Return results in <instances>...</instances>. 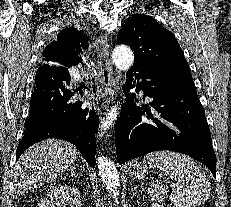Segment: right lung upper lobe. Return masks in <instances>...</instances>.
Returning <instances> with one entry per match:
<instances>
[{
  "label": "right lung upper lobe",
  "instance_id": "cb5924a9",
  "mask_svg": "<svg viewBox=\"0 0 231 207\" xmlns=\"http://www.w3.org/2000/svg\"><path fill=\"white\" fill-rule=\"evenodd\" d=\"M88 39L75 38L60 32L57 39L51 42L43 51V65L70 67L77 65L82 47L87 45Z\"/></svg>",
  "mask_w": 231,
  "mask_h": 207
}]
</instances>
